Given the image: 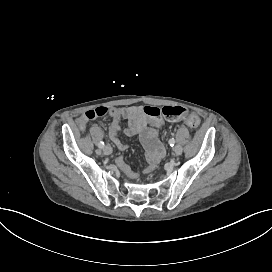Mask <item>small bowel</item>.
<instances>
[{
    "mask_svg": "<svg viewBox=\"0 0 272 272\" xmlns=\"http://www.w3.org/2000/svg\"><path fill=\"white\" fill-rule=\"evenodd\" d=\"M144 110L145 107L137 105L110 108L109 116L111 121L108 125V135L120 151H126L127 146L118 138L121 122L126 120L127 127L124 129V134L128 137L136 135L140 137L148 153V165L145 167L144 172L149 173L152 171L150 168L153 167L154 169L164 155V148L159 141V128L162 126L163 121L160 117L154 120L147 119L144 115ZM179 120H184L186 123L184 118ZM121 168L130 180L139 178V173L132 170L129 166L122 164Z\"/></svg>",
    "mask_w": 272,
    "mask_h": 272,
    "instance_id": "obj_1",
    "label": "small bowel"
}]
</instances>
